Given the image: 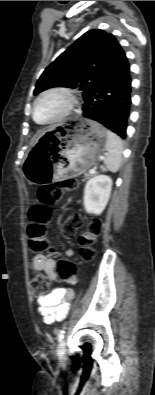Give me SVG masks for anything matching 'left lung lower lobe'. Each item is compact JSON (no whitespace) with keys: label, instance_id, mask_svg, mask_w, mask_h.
Returning a JSON list of instances; mask_svg holds the SVG:
<instances>
[{"label":"left lung lower lobe","instance_id":"obj_1","mask_svg":"<svg viewBox=\"0 0 155 395\" xmlns=\"http://www.w3.org/2000/svg\"><path fill=\"white\" fill-rule=\"evenodd\" d=\"M83 114L121 138H126L131 109V75L127 57L102 78L98 87L84 100Z\"/></svg>","mask_w":155,"mask_h":395}]
</instances>
